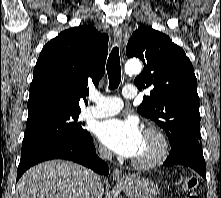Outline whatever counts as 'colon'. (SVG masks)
<instances>
[{"mask_svg":"<svg viewBox=\"0 0 221 198\" xmlns=\"http://www.w3.org/2000/svg\"><path fill=\"white\" fill-rule=\"evenodd\" d=\"M197 179L195 177H188L182 183L183 191L186 198H197Z\"/></svg>","mask_w":221,"mask_h":198,"instance_id":"obj_1","label":"colon"}]
</instances>
